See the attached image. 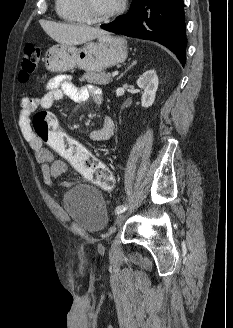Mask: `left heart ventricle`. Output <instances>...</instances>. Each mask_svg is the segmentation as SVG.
<instances>
[{
  "instance_id": "left-heart-ventricle-1",
  "label": "left heart ventricle",
  "mask_w": 233,
  "mask_h": 328,
  "mask_svg": "<svg viewBox=\"0 0 233 328\" xmlns=\"http://www.w3.org/2000/svg\"><path fill=\"white\" fill-rule=\"evenodd\" d=\"M90 11L93 15L100 16L115 9L120 0H88Z\"/></svg>"
}]
</instances>
